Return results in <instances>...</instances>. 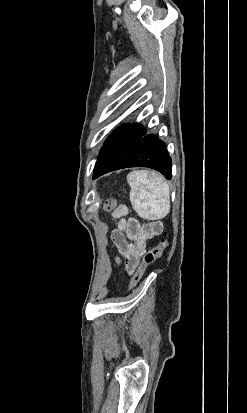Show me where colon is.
<instances>
[{"label": "colon", "mask_w": 247, "mask_h": 413, "mask_svg": "<svg viewBox=\"0 0 247 413\" xmlns=\"http://www.w3.org/2000/svg\"><path fill=\"white\" fill-rule=\"evenodd\" d=\"M114 207H115V202L112 200H108L104 204V208L106 210H111ZM167 248H168V237H167V234H165L163 239L158 245L148 249L145 253L142 254L141 258H142L143 263L138 266V271L135 272L134 277L131 278L129 289H133L136 286V284L140 280L142 272H146L149 266H152V262L156 258L162 256Z\"/></svg>", "instance_id": "1"}]
</instances>
